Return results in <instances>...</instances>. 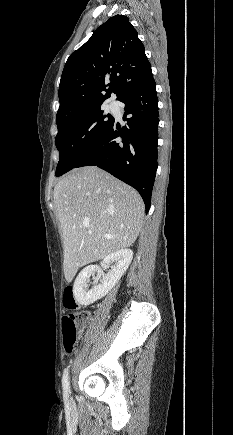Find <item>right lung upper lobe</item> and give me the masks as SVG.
<instances>
[{
  "label": "right lung upper lobe",
  "mask_w": 233,
  "mask_h": 435,
  "mask_svg": "<svg viewBox=\"0 0 233 435\" xmlns=\"http://www.w3.org/2000/svg\"><path fill=\"white\" fill-rule=\"evenodd\" d=\"M150 73L144 45L128 17L109 18L69 56L59 85L56 121L100 107L112 93L120 100Z\"/></svg>",
  "instance_id": "1"
}]
</instances>
